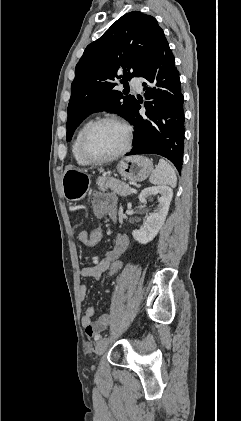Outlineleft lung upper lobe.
<instances>
[{"label":"left lung upper lobe","mask_w":241,"mask_h":421,"mask_svg":"<svg viewBox=\"0 0 241 421\" xmlns=\"http://www.w3.org/2000/svg\"><path fill=\"white\" fill-rule=\"evenodd\" d=\"M157 20L139 11L123 15L96 41L89 44L76 65L68 105L67 141L91 113L109 110L130 121L137 100L114 89L137 73L147 58L157 34Z\"/></svg>","instance_id":"obj_1"}]
</instances>
